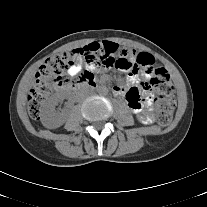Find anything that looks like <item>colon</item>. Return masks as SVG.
I'll use <instances>...</instances> for the list:
<instances>
[{"label":"colon","instance_id":"5ec220e1","mask_svg":"<svg viewBox=\"0 0 207 207\" xmlns=\"http://www.w3.org/2000/svg\"><path fill=\"white\" fill-rule=\"evenodd\" d=\"M76 61L92 67L152 71L153 77L147 82V89L155 94L157 121L162 126L171 122L175 102L174 86L168 71L156 64L151 51L128 50L110 41L94 42L82 48L56 53L48 58L40 67L28 95V114L32 119H39L42 106L55 86L92 80L90 73L73 80L65 76V71Z\"/></svg>","mask_w":207,"mask_h":207}]
</instances>
